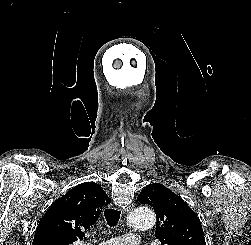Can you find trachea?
<instances>
[{
  "mask_svg": "<svg viewBox=\"0 0 251 245\" xmlns=\"http://www.w3.org/2000/svg\"><path fill=\"white\" fill-rule=\"evenodd\" d=\"M120 214H121V212L116 209H112V208L105 209L104 215H105L107 224L110 227L116 226L119 221Z\"/></svg>",
  "mask_w": 251,
  "mask_h": 245,
  "instance_id": "3493384b",
  "label": "trachea"
}]
</instances>
